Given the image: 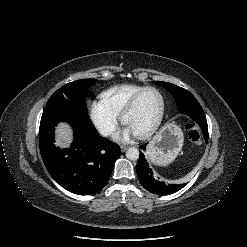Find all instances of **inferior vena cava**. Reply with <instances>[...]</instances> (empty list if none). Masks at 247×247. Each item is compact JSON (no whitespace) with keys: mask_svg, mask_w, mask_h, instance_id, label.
I'll use <instances>...</instances> for the list:
<instances>
[{"mask_svg":"<svg viewBox=\"0 0 247 247\" xmlns=\"http://www.w3.org/2000/svg\"><path fill=\"white\" fill-rule=\"evenodd\" d=\"M100 132H101L102 135L107 136V135L110 134L111 128H109V127H104V128H102V129L100 130Z\"/></svg>","mask_w":247,"mask_h":247,"instance_id":"602c4592","label":"inferior vena cava"}]
</instances>
